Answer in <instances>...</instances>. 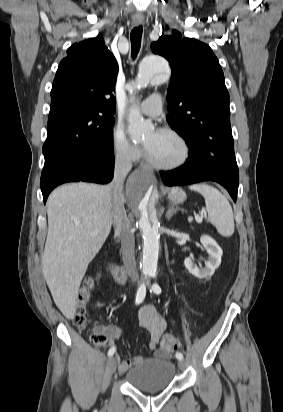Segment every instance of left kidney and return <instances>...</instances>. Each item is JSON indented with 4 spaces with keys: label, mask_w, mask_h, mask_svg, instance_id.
Here are the masks:
<instances>
[{
    "label": "left kidney",
    "mask_w": 283,
    "mask_h": 412,
    "mask_svg": "<svg viewBox=\"0 0 283 412\" xmlns=\"http://www.w3.org/2000/svg\"><path fill=\"white\" fill-rule=\"evenodd\" d=\"M200 242L209 255L208 260L205 262V267L198 268L190 257L185 259L184 265L187 270L195 277L209 278L214 274L215 270L221 264V257L223 252L217 242L210 236H201Z\"/></svg>",
    "instance_id": "left-kidney-1"
}]
</instances>
